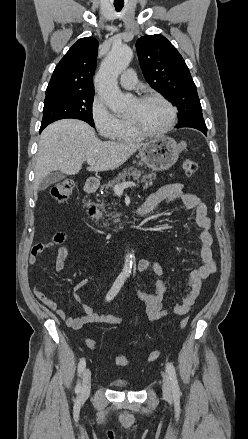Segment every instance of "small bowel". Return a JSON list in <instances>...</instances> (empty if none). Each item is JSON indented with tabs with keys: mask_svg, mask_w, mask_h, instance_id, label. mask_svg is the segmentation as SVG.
Returning a JSON list of instances; mask_svg holds the SVG:
<instances>
[{
	"mask_svg": "<svg viewBox=\"0 0 248 439\" xmlns=\"http://www.w3.org/2000/svg\"><path fill=\"white\" fill-rule=\"evenodd\" d=\"M176 199H180L187 209L194 210V222L200 229V256L203 264L190 273L185 295L182 300L176 303L172 308H164L162 305L167 293V288L163 281L156 280L153 284L152 292H143L135 287L134 291L136 297L146 304V313L149 320H158L171 314L184 315L188 313L200 294L203 280L214 274L217 270V263L212 252L213 238L210 232L211 220L207 216V206L199 197L190 193L184 184L171 183L162 186L148 196L141 208H143L145 213H149L159 204H169ZM46 247V245L40 244L32 249L29 257L30 266L35 265L38 256L46 249ZM68 254V245L59 247L54 264L55 272L59 273L64 269ZM145 271H151L156 276H161L163 274V269L160 264L156 260L151 259H143L138 262L137 272L141 273ZM94 277L95 275H91L81 279L71 289L72 298L83 309L84 314L81 317H67L62 306L45 294L37 284L34 285V294L72 329H79L86 324H120L122 319L119 316L115 314H99L83 301L80 292L90 284Z\"/></svg>",
	"mask_w": 248,
	"mask_h": 439,
	"instance_id": "1",
	"label": "small bowel"
}]
</instances>
